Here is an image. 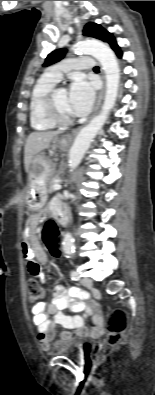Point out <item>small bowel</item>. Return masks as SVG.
I'll list each match as a JSON object with an SVG mask.
<instances>
[{
  "label": "small bowel",
  "mask_w": 155,
  "mask_h": 395,
  "mask_svg": "<svg viewBox=\"0 0 155 395\" xmlns=\"http://www.w3.org/2000/svg\"><path fill=\"white\" fill-rule=\"evenodd\" d=\"M60 208H63L61 201L58 198H54L47 210L55 214ZM40 218L41 214L32 217L27 230V237L23 241L21 249L24 258L28 262L29 273L36 280L43 283L45 282V275L40 264H46L48 257L33 237ZM84 298H86V294L79 288L65 289L62 286H57L54 289L53 299L50 304L39 302L32 307L33 324L37 327V339L43 349H49L52 346L58 325L67 329L61 332V340L72 338L70 330H74L80 337L98 336L101 334L103 318L95 305L85 303L83 301ZM96 305H99V302H96ZM67 308L74 312L83 311L86 315H91L92 328L89 329L85 325L83 316L65 314L63 311ZM102 313H105V310H102Z\"/></svg>",
  "instance_id": "c3829d8e"
}]
</instances>
